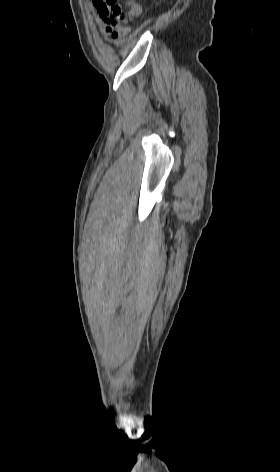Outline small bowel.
<instances>
[{
    "mask_svg": "<svg viewBox=\"0 0 280 472\" xmlns=\"http://www.w3.org/2000/svg\"><path fill=\"white\" fill-rule=\"evenodd\" d=\"M105 34L116 40H123L128 35V29L125 27H116L105 21Z\"/></svg>",
    "mask_w": 280,
    "mask_h": 472,
    "instance_id": "c3829d8e",
    "label": "small bowel"
}]
</instances>
